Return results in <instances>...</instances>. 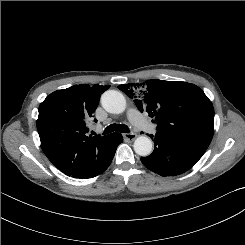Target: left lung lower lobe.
Instances as JSON below:
<instances>
[{
    "label": "left lung lower lobe",
    "mask_w": 245,
    "mask_h": 245,
    "mask_svg": "<svg viewBox=\"0 0 245 245\" xmlns=\"http://www.w3.org/2000/svg\"><path fill=\"white\" fill-rule=\"evenodd\" d=\"M151 155L141 157L149 170L161 176H176L192 168L207 150L209 144L188 136L157 132Z\"/></svg>",
    "instance_id": "obj_1"
}]
</instances>
